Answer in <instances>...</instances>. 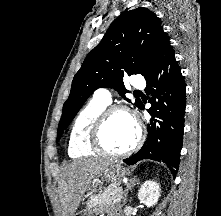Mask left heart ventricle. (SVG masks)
Here are the masks:
<instances>
[{
  "label": "left heart ventricle",
  "mask_w": 221,
  "mask_h": 216,
  "mask_svg": "<svg viewBox=\"0 0 221 216\" xmlns=\"http://www.w3.org/2000/svg\"><path fill=\"white\" fill-rule=\"evenodd\" d=\"M136 137L137 130L131 118L119 112L107 121L102 133V142L111 151H122L131 146Z\"/></svg>",
  "instance_id": "1"
}]
</instances>
